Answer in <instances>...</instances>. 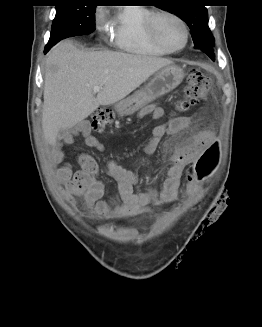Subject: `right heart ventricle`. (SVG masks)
Returning <instances> with one entry per match:
<instances>
[{
	"label": "right heart ventricle",
	"mask_w": 262,
	"mask_h": 327,
	"mask_svg": "<svg viewBox=\"0 0 262 327\" xmlns=\"http://www.w3.org/2000/svg\"><path fill=\"white\" fill-rule=\"evenodd\" d=\"M151 10L144 7H123L111 20L112 43L119 49L140 55L164 56L170 52L157 45L146 29Z\"/></svg>",
	"instance_id": "obj_1"
}]
</instances>
